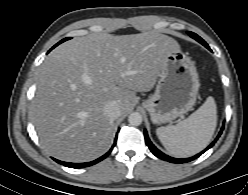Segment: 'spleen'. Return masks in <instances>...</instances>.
Listing matches in <instances>:
<instances>
[{
  "label": "spleen",
  "mask_w": 248,
  "mask_h": 195,
  "mask_svg": "<svg viewBox=\"0 0 248 195\" xmlns=\"http://www.w3.org/2000/svg\"><path fill=\"white\" fill-rule=\"evenodd\" d=\"M217 125V107L213 97L188 118L176 125L159 127L156 134L165 149L175 157H190L210 142Z\"/></svg>",
  "instance_id": "spleen-1"
}]
</instances>
